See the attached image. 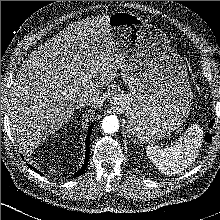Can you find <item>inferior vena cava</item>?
<instances>
[{
    "label": "inferior vena cava",
    "instance_id": "602c4592",
    "mask_svg": "<svg viewBox=\"0 0 220 220\" xmlns=\"http://www.w3.org/2000/svg\"><path fill=\"white\" fill-rule=\"evenodd\" d=\"M96 100L95 96L89 93L82 94L77 100L78 107H84L86 105L92 104Z\"/></svg>",
    "mask_w": 220,
    "mask_h": 220
}]
</instances>
